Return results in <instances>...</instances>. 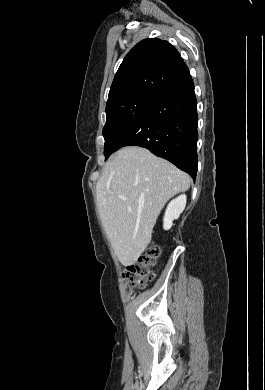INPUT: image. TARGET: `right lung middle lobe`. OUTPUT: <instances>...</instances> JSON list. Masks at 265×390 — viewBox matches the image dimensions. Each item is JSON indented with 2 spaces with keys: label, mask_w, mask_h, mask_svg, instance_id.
Here are the masks:
<instances>
[{
  "label": "right lung middle lobe",
  "mask_w": 265,
  "mask_h": 390,
  "mask_svg": "<svg viewBox=\"0 0 265 390\" xmlns=\"http://www.w3.org/2000/svg\"><path fill=\"white\" fill-rule=\"evenodd\" d=\"M155 98L134 95L106 106V124L103 128L105 159L116 151L121 135Z\"/></svg>",
  "instance_id": "obj_1"
}]
</instances>
